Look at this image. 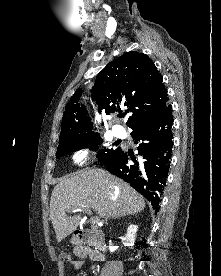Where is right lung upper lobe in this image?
Listing matches in <instances>:
<instances>
[{
	"label": "right lung upper lobe",
	"instance_id": "right-lung-upper-lobe-1",
	"mask_svg": "<svg viewBox=\"0 0 221 276\" xmlns=\"http://www.w3.org/2000/svg\"><path fill=\"white\" fill-rule=\"evenodd\" d=\"M92 97L98 110L106 114L128 107L127 125H134L159 115L168 106V94L162 75L145 54L128 52L111 61L96 77ZM82 89H77L67 103L59 142L94 133L86 107L79 103Z\"/></svg>",
	"mask_w": 221,
	"mask_h": 276
}]
</instances>
